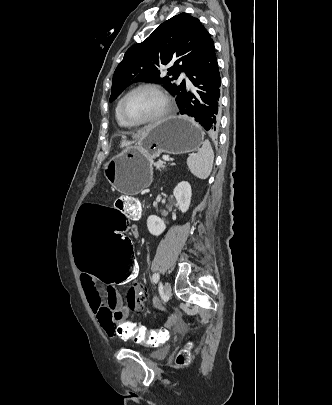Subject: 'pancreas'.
I'll return each instance as SVG.
<instances>
[{
	"label": "pancreas",
	"mask_w": 332,
	"mask_h": 405,
	"mask_svg": "<svg viewBox=\"0 0 332 405\" xmlns=\"http://www.w3.org/2000/svg\"><path fill=\"white\" fill-rule=\"evenodd\" d=\"M154 166H156L157 169L164 168L165 163L163 161H158V162L154 163Z\"/></svg>",
	"instance_id": "1"
}]
</instances>
